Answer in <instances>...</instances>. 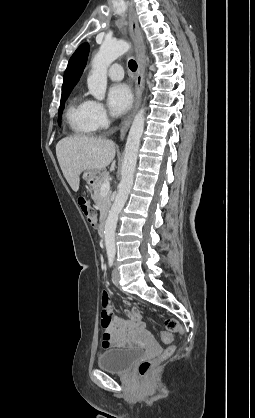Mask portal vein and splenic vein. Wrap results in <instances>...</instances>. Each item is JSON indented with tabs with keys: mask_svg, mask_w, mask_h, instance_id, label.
Instances as JSON below:
<instances>
[{
	"mask_svg": "<svg viewBox=\"0 0 255 418\" xmlns=\"http://www.w3.org/2000/svg\"><path fill=\"white\" fill-rule=\"evenodd\" d=\"M110 191V183L107 181L104 184H102L100 193L101 195H106Z\"/></svg>",
	"mask_w": 255,
	"mask_h": 418,
	"instance_id": "portal-vein-and-splenic-vein-1",
	"label": "portal vein and splenic vein"
}]
</instances>
